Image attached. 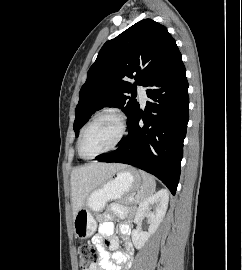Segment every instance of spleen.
Masks as SVG:
<instances>
[{
  "instance_id": "1",
  "label": "spleen",
  "mask_w": 242,
  "mask_h": 270,
  "mask_svg": "<svg viewBox=\"0 0 242 270\" xmlns=\"http://www.w3.org/2000/svg\"><path fill=\"white\" fill-rule=\"evenodd\" d=\"M140 173L143 178V184L136 195L137 202H142L143 200L151 196L156 188V182L152 175L144 171H140Z\"/></svg>"
}]
</instances>
